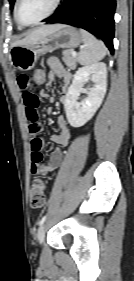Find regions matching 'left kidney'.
<instances>
[{
    "label": "left kidney",
    "mask_w": 134,
    "mask_h": 281,
    "mask_svg": "<svg viewBox=\"0 0 134 281\" xmlns=\"http://www.w3.org/2000/svg\"><path fill=\"white\" fill-rule=\"evenodd\" d=\"M89 79L94 85L88 89L87 97L78 102L80 91ZM106 88L107 71L105 63H94L76 71L64 100L66 117L72 127H81L94 116L102 104Z\"/></svg>",
    "instance_id": "left-kidney-1"
}]
</instances>
